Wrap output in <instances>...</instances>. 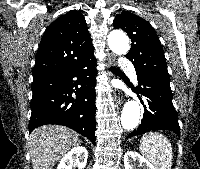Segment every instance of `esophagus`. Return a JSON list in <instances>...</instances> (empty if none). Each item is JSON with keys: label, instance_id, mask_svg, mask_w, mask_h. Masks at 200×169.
<instances>
[{"label": "esophagus", "instance_id": "obj_1", "mask_svg": "<svg viewBox=\"0 0 200 169\" xmlns=\"http://www.w3.org/2000/svg\"><path fill=\"white\" fill-rule=\"evenodd\" d=\"M109 65H114L115 64V56L111 55L108 59ZM109 76L112 77L113 74L109 72ZM113 96L118 105H121L123 103V93L119 91L118 89L113 90Z\"/></svg>", "mask_w": 200, "mask_h": 169}]
</instances>
